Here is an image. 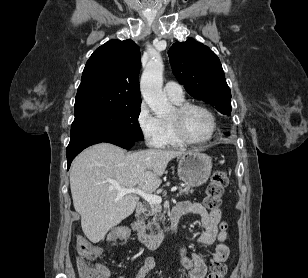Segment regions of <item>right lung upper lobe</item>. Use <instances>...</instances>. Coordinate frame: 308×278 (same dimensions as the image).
I'll use <instances>...</instances> for the list:
<instances>
[{"instance_id": "right-lung-upper-lobe-1", "label": "right lung upper lobe", "mask_w": 308, "mask_h": 278, "mask_svg": "<svg viewBox=\"0 0 308 278\" xmlns=\"http://www.w3.org/2000/svg\"><path fill=\"white\" fill-rule=\"evenodd\" d=\"M140 68V51L132 40H110L100 46L83 70L74 114L140 105Z\"/></svg>"}]
</instances>
